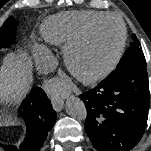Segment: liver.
<instances>
[{
    "label": "liver",
    "mask_w": 151,
    "mask_h": 151,
    "mask_svg": "<svg viewBox=\"0 0 151 151\" xmlns=\"http://www.w3.org/2000/svg\"><path fill=\"white\" fill-rule=\"evenodd\" d=\"M33 82L32 61L25 53H9L0 67V102L14 105L29 91Z\"/></svg>",
    "instance_id": "6515ba94"
}]
</instances>
